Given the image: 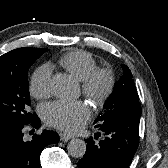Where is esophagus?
<instances>
[{
    "label": "esophagus",
    "instance_id": "obj_1",
    "mask_svg": "<svg viewBox=\"0 0 168 168\" xmlns=\"http://www.w3.org/2000/svg\"><path fill=\"white\" fill-rule=\"evenodd\" d=\"M59 136H60V140L63 141V142H66V141L73 138L72 135H69V134H66V133H60Z\"/></svg>",
    "mask_w": 168,
    "mask_h": 168
}]
</instances>
